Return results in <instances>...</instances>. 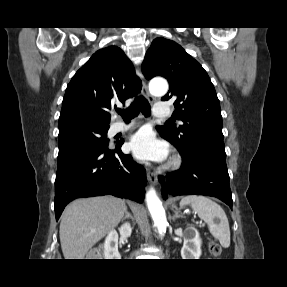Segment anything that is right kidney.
<instances>
[{"instance_id": "1", "label": "right kidney", "mask_w": 287, "mask_h": 287, "mask_svg": "<svg viewBox=\"0 0 287 287\" xmlns=\"http://www.w3.org/2000/svg\"><path fill=\"white\" fill-rule=\"evenodd\" d=\"M119 232L122 237H129L132 228L129 223H125L119 228ZM104 256L105 259H121L118 252V233L115 230L110 231L105 239Z\"/></svg>"}]
</instances>
